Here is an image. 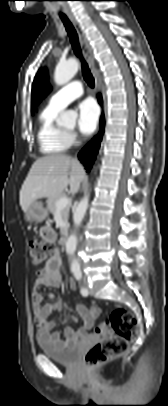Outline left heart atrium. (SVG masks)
<instances>
[{
  "label": "left heart atrium",
  "mask_w": 168,
  "mask_h": 406,
  "mask_svg": "<svg viewBox=\"0 0 168 406\" xmlns=\"http://www.w3.org/2000/svg\"><path fill=\"white\" fill-rule=\"evenodd\" d=\"M77 126L84 135L92 134L98 124L99 111L96 104L91 100L81 102L78 107Z\"/></svg>",
  "instance_id": "obj_1"
}]
</instances>
